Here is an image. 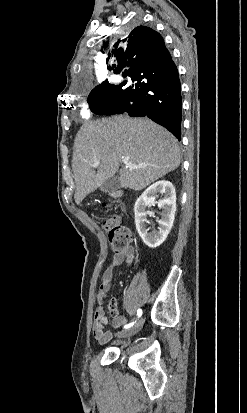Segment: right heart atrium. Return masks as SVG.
Wrapping results in <instances>:
<instances>
[{
  "mask_svg": "<svg viewBox=\"0 0 247 413\" xmlns=\"http://www.w3.org/2000/svg\"><path fill=\"white\" fill-rule=\"evenodd\" d=\"M92 107H93V102H92L91 100H86V101L84 102V106H82V107L80 108L81 117H82L83 119H91V118H93V117L95 116V113H94L93 111L88 110V109H91ZM80 130H81V129H80ZM98 130H101V129H98Z\"/></svg>",
  "mask_w": 247,
  "mask_h": 413,
  "instance_id": "obj_1",
  "label": "right heart atrium"
}]
</instances>
